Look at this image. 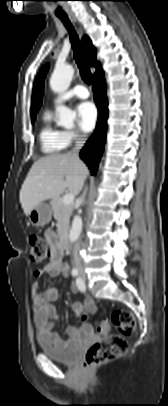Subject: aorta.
Wrapping results in <instances>:
<instances>
[{
    "label": "aorta",
    "mask_w": 168,
    "mask_h": 406,
    "mask_svg": "<svg viewBox=\"0 0 168 406\" xmlns=\"http://www.w3.org/2000/svg\"><path fill=\"white\" fill-rule=\"evenodd\" d=\"M74 75V69L69 64L57 65L50 78V87L55 93L65 92L72 81ZM56 112L58 114L57 123L65 128H72L74 125V120L76 113L71 109L58 105L56 107ZM82 231V218L80 216H75L72 222V227L69 233L70 242H75Z\"/></svg>",
    "instance_id": "762f6f07"
}]
</instances>
